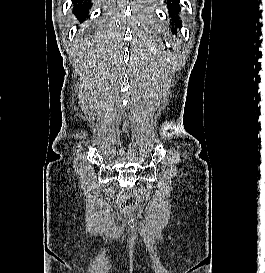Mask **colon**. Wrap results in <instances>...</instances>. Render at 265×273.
I'll use <instances>...</instances> for the list:
<instances>
[{
    "label": "colon",
    "mask_w": 265,
    "mask_h": 273,
    "mask_svg": "<svg viewBox=\"0 0 265 273\" xmlns=\"http://www.w3.org/2000/svg\"><path fill=\"white\" fill-rule=\"evenodd\" d=\"M140 202L139 197L135 196V195H131L128 197H125L124 199L121 200L120 206L123 210L132 208L136 205H138Z\"/></svg>",
    "instance_id": "5ec220e1"
}]
</instances>
